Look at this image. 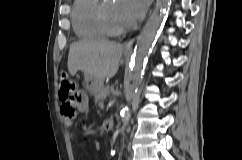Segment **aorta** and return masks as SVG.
I'll return each mask as SVG.
<instances>
[{"instance_id": "aorta-1", "label": "aorta", "mask_w": 242, "mask_h": 160, "mask_svg": "<svg viewBox=\"0 0 242 160\" xmlns=\"http://www.w3.org/2000/svg\"><path fill=\"white\" fill-rule=\"evenodd\" d=\"M168 6L169 0H157L155 9L149 17L146 26L137 37L132 64L130 66V70L124 78V92L127 101H129L134 95V91L137 87L138 81L141 78L142 70L149 54V50L151 49L156 34L163 22L164 14ZM129 118L130 115L128 112V108L125 107L122 110V129L126 128ZM118 133L119 130H116L113 133V141H115Z\"/></svg>"}]
</instances>
